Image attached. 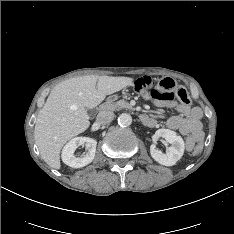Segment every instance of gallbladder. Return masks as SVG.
<instances>
[{
	"label": "gallbladder",
	"mask_w": 234,
	"mask_h": 234,
	"mask_svg": "<svg viewBox=\"0 0 234 234\" xmlns=\"http://www.w3.org/2000/svg\"><path fill=\"white\" fill-rule=\"evenodd\" d=\"M88 114H89V115H93V114H94V110H93V109H89V110H88Z\"/></svg>",
	"instance_id": "obj_1"
}]
</instances>
